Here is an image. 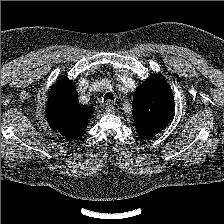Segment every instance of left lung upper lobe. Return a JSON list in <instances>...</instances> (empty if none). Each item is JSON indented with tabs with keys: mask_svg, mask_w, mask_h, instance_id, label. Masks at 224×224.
<instances>
[{
	"mask_svg": "<svg viewBox=\"0 0 224 224\" xmlns=\"http://www.w3.org/2000/svg\"><path fill=\"white\" fill-rule=\"evenodd\" d=\"M136 130L143 138L161 132L172 118L174 98L170 86L159 75L147 79L133 96Z\"/></svg>",
	"mask_w": 224,
	"mask_h": 224,
	"instance_id": "obj_1",
	"label": "left lung upper lobe"
}]
</instances>
